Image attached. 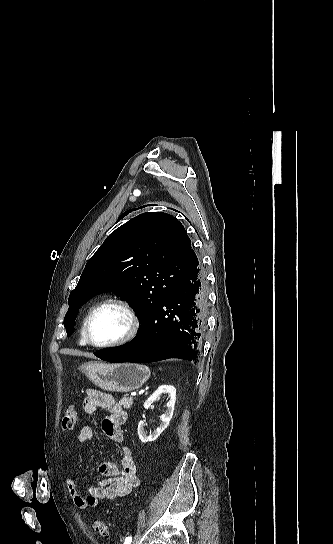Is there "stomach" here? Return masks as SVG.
I'll use <instances>...</instances> for the list:
<instances>
[{
	"label": "stomach",
	"instance_id": "obj_1",
	"mask_svg": "<svg viewBox=\"0 0 333 544\" xmlns=\"http://www.w3.org/2000/svg\"><path fill=\"white\" fill-rule=\"evenodd\" d=\"M89 380L109 392H130L140 388L150 377V369L137 363L88 362L79 368Z\"/></svg>",
	"mask_w": 333,
	"mask_h": 544
}]
</instances>
